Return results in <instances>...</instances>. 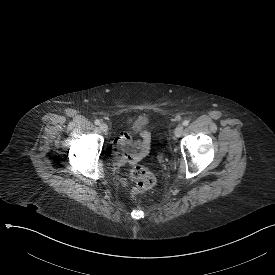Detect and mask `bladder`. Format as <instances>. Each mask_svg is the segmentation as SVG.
I'll return each mask as SVG.
<instances>
[{
	"instance_id": "31cf9c89",
	"label": "bladder",
	"mask_w": 275,
	"mask_h": 275,
	"mask_svg": "<svg viewBox=\"0 0 275 275\" xmlns=\"http://www.w3.org/2000/svg\"><path fill=\"white\" fill-rule=\"evenodd\" d=\"M145 124L142 123L140 120L138 119H134L129 125H128V129L129 131H131L132 133L134 132H138L141 131L144 128Z\"/></svg>"
}]
</instances>
